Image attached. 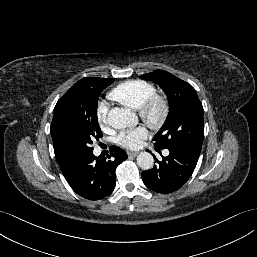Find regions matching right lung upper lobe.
Returning a JSON list of instances; mask_svg holds the SVG:
<instances>
[{
  "label": "right lung upper lobe",
  "instance_id": "1",
  "mask_svg": "<svg viewBox=\"0 0 257 257\" xmlns=\"http://www.w3.org/2000/svg\"><path fill=\"white\" fill-rule=\"evenodd\" d=\"M114 80L113 78H95V77H85L79 80L77 83H75L71 88H76L79 87L80 85L84 83H94L98 81H103V82H110ZM59 107L55 106L54 112H53V119L56 117L58 113ZM54 152H55V157L57 159V162L60 166V169L63 173V175L67 174L73 167L74 163L79 160L76 157L70 156L67 153L63 152L60 150L57 146L54 145Z\"/></svg>",
  "mask_w": 257,
  "mask_h": 257
}]
</instances>
